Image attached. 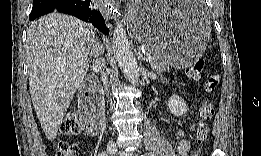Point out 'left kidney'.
I'll use <instances>...</instances> for the list:
<instances>
[{"label":"left kidney","mask_w":261,"mask_h":156,"mask_svg":"<svg viewBox=\"0 0 261 156\" xmlns=\"http://www.w3.org/2000/svg\"><path fill=\"white\" fill-rule=\"evenodd\" d=\"M167 106L170 112L177 117L182 116L187 111V105L179 95L169 97Z\"/></svg>","instance_id":"5707ae66"}]
</instances>
